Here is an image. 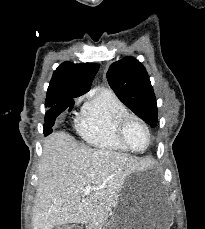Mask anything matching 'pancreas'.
Wrapping results in <instances>:
<instances>
[{"label": "pancreas", "instance_id": "obj_1", "mask_svg": "<svg viewBox=\"0 0 205 229\" xmlns=\"http://www.w3.org/2000/svg\"><path fill=\"white\" fill-rule=\"evenodd\" d=\"M97 222H93L87 226V229H102L103 224L105 223L104 215L99 216Z\"/></svg>", "mask_w": 205, "mask_h": 229}]
</instances>
